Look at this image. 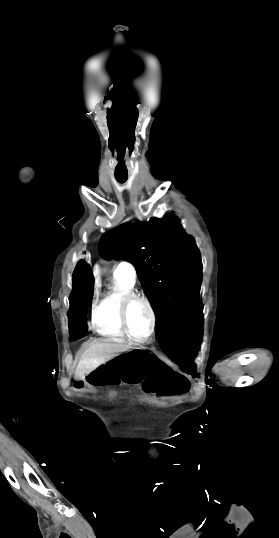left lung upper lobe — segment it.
Listing matches in <instances>:
<instances>
[{"mask_svg": "<svg viewBox=\"0 0 279 538\" xmlns=\"http://www.w3.org/2000/svg\"><path fill=\"white\" fill-rule=\"evenodd\" d=\"M99 252L135 266L156 314V332H181L203 321L200 252L172 214L108 231Z\"/></svg>", "mask_w": 279, "mask_h": 538, "instance_id": "5c2ea615", "label": "left lung upper lobe"}]
</instances>
